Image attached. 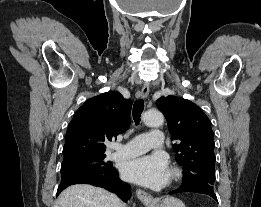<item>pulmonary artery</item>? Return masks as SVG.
Wrapping results in <instances>:
<instances>
[{
    "instance_id": "e3ab8cb5",
    "label": "pulmonary artery",
    "mask_w": 261,
    "mask_h": 207,
    "mask_svg": "<svg viewBox=\"0 0 261 207\" xmlns=\"http://www.w3.org/2000/svg\"><path fill=\"white\" fill-rule=\"evenodd\" d=\"M163 145V133L159 130H153L148 133L140 134L134 137L126 144H117L114 146L115 152L111 155L112 159H127L141 155L148 150L159 149Z\"/></svg>"
}]
</instances>
